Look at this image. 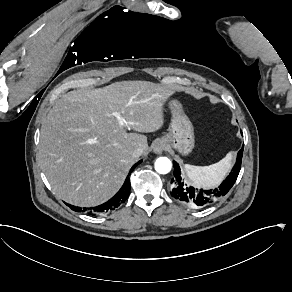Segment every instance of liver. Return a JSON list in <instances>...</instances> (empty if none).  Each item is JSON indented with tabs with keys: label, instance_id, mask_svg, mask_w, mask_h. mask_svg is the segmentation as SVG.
<instances>
[{
	"label": "liver",
	"instance_id": "obj_1",
	"mask_svg": "<svg viewBox=\"0 0 292 292\" xmlns=\"http://www.w3.org/2000/svg\"><path fill=\"white\" fill-rule=\"evenodd\" d=\"M174 92L149 81L115 82L64 94L43 121L39 162L56 195L75 206L108 201L135 163L136 148L148 154L147 137L127 133L113 116L138 132L163 125L162 106Z\"/></svg>",
	"mask_w": 292,
	"mask_h": 292
}]
</instances>
